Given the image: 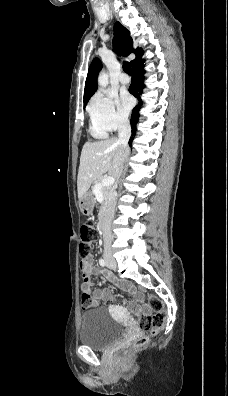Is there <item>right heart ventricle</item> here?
<instances>
[{"label":"right heart ventricle","instance_id":"right-heart-ventricle-1","mask_svg":"<svg viewBox=\"0 0 228 396\" xmlns=\"http://www.w3.org/2000/svg\"><path fill=\"white\" fill-rule=\"evenodd\" d=\"M91 133L94 137L96 138H104L106 137V132L103 131L102 129L98 128L95 124L92 123L91 125Z\"/></svg>","mask_w":228,"mask_h":396}]
</instances>
